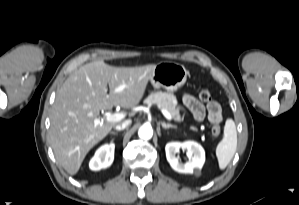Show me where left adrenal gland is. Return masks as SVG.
<instances>
[{"instance_id": "a2214340", "label": "left adrenal gland", "mask_w": 299, "mask_h": 205, "mask_svg": "<svg viewBox=\"0 0 299 205\" xmlns=\"http://www.w3.org/2000/svg\"><path fill=\"white\" fill-rule=\"evenodd\" d=\"M161 125L164 129H169V128H177L176 125H172V124H166L165 122H161Z\"/></svg>"}]
</instances>
